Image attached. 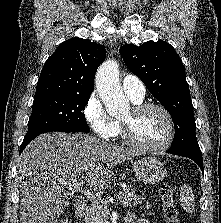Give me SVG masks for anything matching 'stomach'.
<instances>
[{"mask_svg":"<svg viewBox=\"0 0 221 223\" xmlns=\"http://www.w3.org/2000/svg\"><path fill=\"white\" fill-rule=\"evenodd\" d=\"M135 177L145 184H156L166 176L164 165L153 157L138 159L132 165Z\"/></svg>","mask_w":221,"mask_h":223,"instance_id":"1","label":"stomach"}]
</instances>
